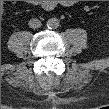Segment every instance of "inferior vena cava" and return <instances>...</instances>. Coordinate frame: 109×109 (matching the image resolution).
<instances>
[{
	"label": "inferior vena cava",
	"instance_id": "obj_1",
	"mask_svg": "<svg viewBox=\"0 0 109 109\" xmlns=\"http://www.w3.org/2000/svg\"><path fill=\"white\" fill-rule=\"evenodd\" d=\"M28 25L30 28L36 29L41 26V21L36 18H33V19H30Z\"/></svg>",
	"mask_w": 109,
	"mask_h": 109
}]
</instances>
